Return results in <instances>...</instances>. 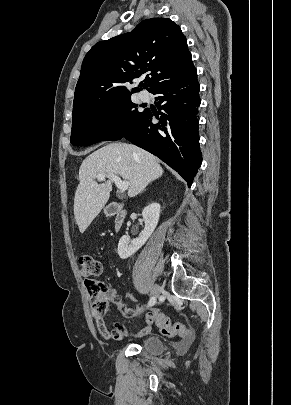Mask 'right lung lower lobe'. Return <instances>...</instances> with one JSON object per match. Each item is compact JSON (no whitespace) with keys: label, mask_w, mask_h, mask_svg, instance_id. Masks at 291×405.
<instances>
[{"label":"right lung lower lobe","mask_w":291,"mask_h":405,"mask_svg":"<svg viewBox=\"0 0 291 405\" xmlns=\"http://www.w3.org/2000/svg\"><path fill=\"white\" fill-rule=\"evenodd\" d=\"M199 89L197 72L160 85L152 92L156 95V106L163 110L160 116L146 110L132 131L123 137L159 157L176 170L189 187L202 163L198 134ZM154 116L159 120L157 124L152 123Z\"/></svg>","instance_id":"98d812e1"}]
</instances>
